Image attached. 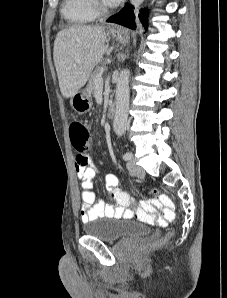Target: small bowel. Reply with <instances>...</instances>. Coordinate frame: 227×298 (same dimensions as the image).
<instances>
[{"label": "small bowel", "mask_w": 227, "mask_h": 298, "mask_svg": "<svg viewBox=\"0 0 227 298\" xmlns=\"http://www.w3.org/2000/svg\"><path fill=\"white\" fill-rule=\"evenodd\" d=\"M76 154L74 163L77 177L81 181L82 206L80 215L83 222L103 217L130 218L136 215L140 219L158 222L161 225L166 224L167 220L164 217V211L162 217L156 219L152 214L154 205H150L149 202H143L140 209L135 213L128 193L120 187L118 178L113 174L105 175V187L112 195L113 204H107L103 200L98 199L91 189L93 179L99 173V170L92 159L86 155V150H77Z\"/></svg>", "instance_id": "obj_1"}]
</instances>
